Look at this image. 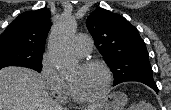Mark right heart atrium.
<instances>
[{
  "label": "right heart atrium",
  "mask_w": 171,
  "mask_h": 110,
  "mask_svg": "<svg viewBox=\"0 0 171 110\" xmlns=\"http://www.w3.org/2000/svg\"><path fill=\"white\" fill-rule=\"evenodd\" d=\"M40 76L52 96L56 97L57 99L65 98L67 93L66 82L51 62L48 53H45L41 58Z\"/></svg>",
  "instance_id": "right-heart-atrium-1"
}]
</instances>
